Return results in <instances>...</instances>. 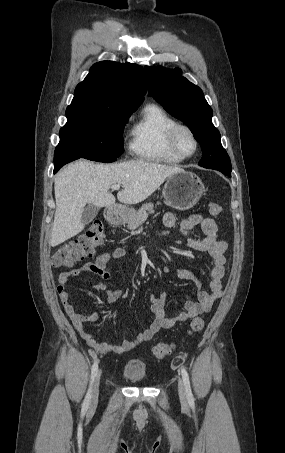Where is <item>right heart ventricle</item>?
Masks as SVG:
<instances>
[{
    "instance_id": "obj_1",
    "label": "right heart ventricle",
    "mask_w": 285,
    "mask_h": 453,
    "mask_svg": "<svg viewBox=\"0 0 285 453\" xmlns=\"http://www.w3.org/2000/svg\"><path fill=\"white\" fill-rule=\"evenodd\" d=\"M177 122L159 105L148 104L130 130L129 148L139 158L167 163H180L169 146V133Z\"/></svg>"
}]
</instances>
